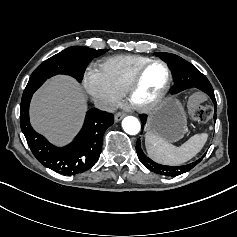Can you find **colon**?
Wrapping results in <instances>:
<instances>
[{"label": "colon", "mask_w": 237, "mask_h": 237, "mask_svg": "<svg viewBox=\"0 0 237 237\" xmlns=\"http://www.w3.org/2000/svg\"><path fill=\"white\" fill-rule=\"evenodd\" d=\"M206 94L199 92L192 95L188 101V113L190 118L195 122H206L213 116V109L204 105Z\"/></svg>", "instance_id": "colon-1"}]
</instances>
